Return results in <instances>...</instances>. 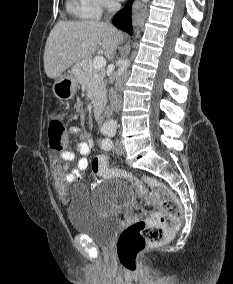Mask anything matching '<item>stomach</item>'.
Listing matches in <instances>:
<instances>
[{
	"mask_svg": "<svg viewBox=\"0 0 233 284\" xmlns=\"http://www.w3.org/2000/svg\"><path fill=\"white\" fill-rule=\"evenodd\" d=\"M72 73H64L55 78L53 93L60 100H69L76 93L78 81Z\"/></svg>",
	"mask_w": 233,
	"mask_h": 284,
	"instance_id": "stomach-1",
	"label": "stomach"
}]
</instances>
